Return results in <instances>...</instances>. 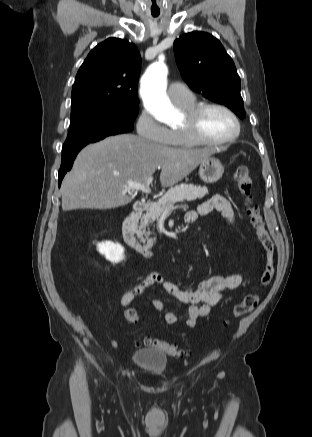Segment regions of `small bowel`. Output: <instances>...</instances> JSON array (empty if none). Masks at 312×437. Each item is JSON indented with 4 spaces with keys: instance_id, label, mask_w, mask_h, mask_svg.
<instances>
[{
    "instance_id": "obj_1",
    "label": "small bowel",
    "mask_w": 312,
    "mask_h": 437,
    "mask_svg": "<svg viewBox=\"0 0 312 437\" xmlns=\"http://www.w3.org/2000/svg\"><path fill=\"white\" fill-rule=\"evenodd\" d=\"M213 210L219 211L229 224L234 223L233 205L225 196L220 194H215L204 201L196 211H188L185 214V222L193 223L200 215L208 214ZM241 282L242 276L239 273L227 276L217 275L199 281L193 289L185 290L172 282L166 281L159 273H150L138 284L122 293L120 304L123 307L129 306L147 289L160 286L167 294L188 305V313L184 321L175 313L166 312L164 315L165 322L169 325L183 323L188 328H194L197 320L207 316L212 308L219 303L224 292L236 289ZM152 306L157 311L165 310V303L161 299H153ZM110 346L115 348V341H111Z\"/></svg>"
}]
</instances>
